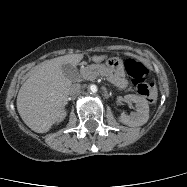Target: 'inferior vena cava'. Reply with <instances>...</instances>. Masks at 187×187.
<instances>
[{
  "mask_svg": "<svg viewBox=\"0 0 187 187\" xmlns=\"http://www.w3.org/2000/svg\"><path fill=\"white\" fill-rule=\"evenodd\" d=\"M80 90H81V85L76 83V84L71 85L69 93H70V95H75V94L79 93Z\"/></svg>",
  "mask_w": 187,
  "mask_h": 187,
  "instance_id": "inferior-vena-cava-1",
  "label": "inferior vena cava"
}]
</instances>
